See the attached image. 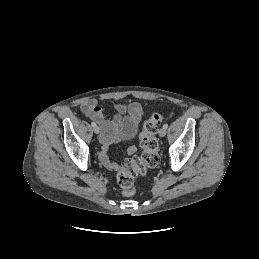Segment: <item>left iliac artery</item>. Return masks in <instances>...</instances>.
Returning a JSON list of instances; mask_svg holds the SVG:
<instances>
[{"instance_id":"44dca946","label":"left iliac artery","mask_w":259,"mask_h":259,"mask_svg":"<svg viewBox=\"0 0 259 259\" xmlns=\"http://www.w3.org/2000/svg\"><path fill=\"white\" fill-rule=\"evenodd\" d=\"M163 128L167 129L168 128V124H164Z\"/></svg>"}]
</instances>
